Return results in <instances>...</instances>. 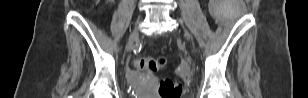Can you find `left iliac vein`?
Instances as JSON below:
<instances>
[{
	"label": "left iliac vein",
	"instance_id": "obj_1",
	"mask_svg": "<svg viewBox=\"0 0 308 98\" xmlns=\"http://www.w3.org/2000/svg\"><path fill=\"white\" fill-rule=\"evenodd\" d=\"M185 36H186L187 39L191 40V36H190L189 32L185 31Z\"/></svg>",
	"mask_w": 308,
	"mask_h": 98
}]
</instances>
